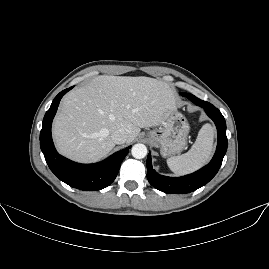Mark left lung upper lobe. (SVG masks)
<instances>
[{
    "label": "left lung upper lobe",
    "instance_id": "obj_1",
    "mask_svg": "<svg viewBox=\"0 0 269 269\" xmlns=\"http://www.w3.org/2000/svg\"><path fill=\"white\" fill-rule=\"evenodd\" d=\"M182 96H184V97H187L189 100H191L192 101V99L195 97L194 95H192V94H182Z\"/></svg>",
    "mask_w": 269,
    "mask_h": 269
}]
</instances>
